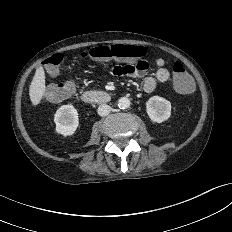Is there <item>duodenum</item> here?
Wrapping results in <instances>:
<instances>
[{
	"mask_svg": "<svg viewBox=\"0 0 232 232\" xmlns=\"http://www.w3.org/2000/svg\"><path fill=\"white\" fill-rule=\"evenodd\" d=\"M81 99L87 104H105L111 100V96L105 91H85L82 93Z\"/></svg>",
	"mask_w": 232,
	"mask_h": 232,
	"instance_id": "obj_1",
	"label": "duodenum"
}]
</instances>
